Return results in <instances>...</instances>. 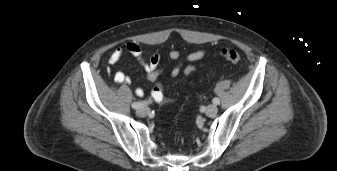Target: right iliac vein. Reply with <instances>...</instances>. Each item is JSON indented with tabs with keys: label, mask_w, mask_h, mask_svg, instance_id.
Segmentation results:
<instances>
[{
	"label": "right iliac vein",
	"mask_w": 337,
	"mask_h": 171,
	"mask_svg": "<svg viewBox=\"0 0 337 171\" xmlns=\"http://www.w3.org/2000/svg\"><path fill=\"white\" fill-rule=\"evenodd\" d=\"M149 113V108L148 107H141L137 110V115L139 117H144Z\"/></svg>",
	"instance_id": "1"
}]
</instances>
